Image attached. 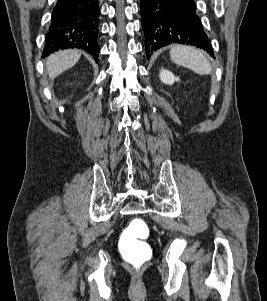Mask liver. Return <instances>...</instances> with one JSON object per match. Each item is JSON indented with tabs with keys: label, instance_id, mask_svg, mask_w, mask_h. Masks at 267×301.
I'll return each mask as SVG.
<instances>
[{
	"label": "liver",
	"instance_id": "6515ba94",
	"mask_svg": "<svg viewBox=\"0 0 267 301\" xmlns=\"http://www.w3.org/2000/svg\"><path fill=\"white\" fill-rule=\"evenodd\" d=\"M81 54L74 49L61 50L51 54L46 60V68L50 79H54L64 71L73 67Z\"/></svg>",
	"mask_w": 267,
	"mask_h": 301
}]
</instances>
